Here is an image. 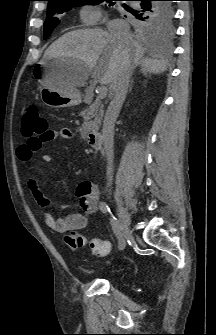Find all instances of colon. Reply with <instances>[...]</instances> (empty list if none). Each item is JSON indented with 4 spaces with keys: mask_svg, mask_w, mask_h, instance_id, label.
<instances>
[{
    "mask_svg": "<svg viewBox=\"0 0 216 335\" xmlns=\"http://www.w3.org/2000/svg\"><path fill=\"white\" fill-rule=\"evenodd\" d=\"M49 133L48 121L40 115L35 106L28 107L22 117V134L27 137L28 145L33 152L42 148ZM65 242L74 250L89 245L92 253L96 256H104L109 252V248L104 241L97 238L88 240L77 232H71L66 235Z\"/></svg>",
    "mask_w": 216,
    "mask_h": 335,
    "instance_id": "5ec220e1",
    "label": "colon"
}]
</instances>
